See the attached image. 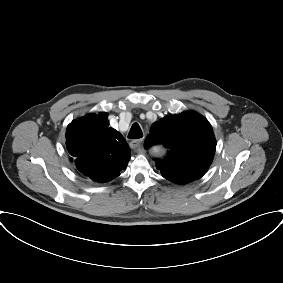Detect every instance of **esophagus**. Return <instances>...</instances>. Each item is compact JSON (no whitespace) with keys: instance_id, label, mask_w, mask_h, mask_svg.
Segmentation results:
<instances>
[{"instance_id":"1","label":"esophagus","mask_w":283,"mask_h":283,"mask_svg":"<svg viewBox=\"0 0 283 283\" xmlns=\"http://www.w3.org/2000/svg\"><path fill=\"white\" fill-rule=\"evenodd\" d=\"M143 142V139H136L130 142V147L135 149V148H139L141 146Z\"/></svg>"}]
</instances>
